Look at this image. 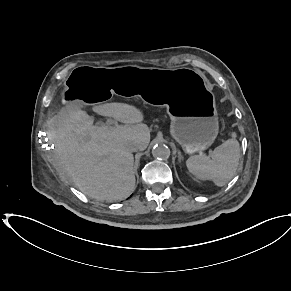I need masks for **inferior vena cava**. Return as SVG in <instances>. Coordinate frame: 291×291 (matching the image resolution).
<instances>
[{
	"label": "inferior vena cava",
	"mask_w": 291,
	"mask_h": 291,
	"mask_svg": "<svg viewBox=\"0 0 291 291\" xmlns=\"http://www.w3.org/2000/svg\"><path fill=\"white\" fill-rule=\"evenodd\" d=\"M128 150L130 151V152H137L138 150H139V147H138V145H136V144H130L129 146H128Z\"/></svg>",
	"instance_id": "1"
}]
</instances>
